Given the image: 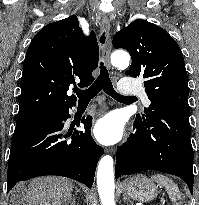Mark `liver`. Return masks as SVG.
<instances>
[{
    "label": "liver",
    "mask_w": 199,
    "mask_h": 205,
    "mask_svg": "<svg viewBox=\"0 0 199 205\" xmlns=\"http://www.w3.org/2000/svg\"><path fill=\"white\" fill-rule=\"evenodd\" d=\"M73 183L62 177H40L33 179L21 199L27 205H72ZM15 190L13 194H15Z\"/></svg>",
    "instance_id": "6515ba94"
}]
</instances>
